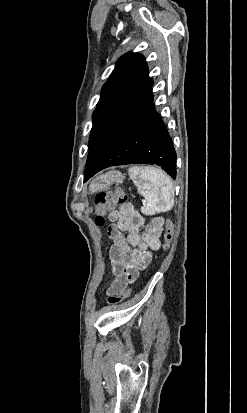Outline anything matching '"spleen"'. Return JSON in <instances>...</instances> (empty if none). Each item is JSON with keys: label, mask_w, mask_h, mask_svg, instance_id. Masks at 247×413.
<instances>
[{"label": "spleen", "mask_w": 247, "mask_h": 413, "mask_svg": "<svg viewBox=\"0 0 247 413\" xmlns=\"http://www.w3.org/2000/svg\"><path fill=\"white\" fill-rule=\"evenodd\" d=\"M129 176L134 180L138 192L145 196L146 213H166L174 204L173 182L161 168L155 166H130Z\"/></svg>", "instance_id": "3e777b00"}]
</instances>
